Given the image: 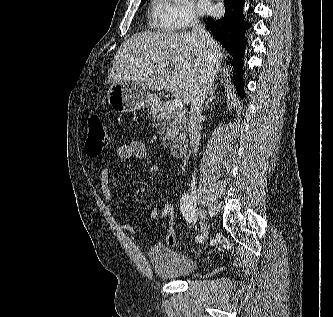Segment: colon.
I'll return each mask as SVG.
<instances>
[{"mask_svg":"<svg viewBox=\"0 0 333 317\" xmlns=\"http://www.w3.org/2000/svg\"><path fill=\"white\" fill-rule=\"evenodd\" d=\"M110 138L98 116L92 115L88 122V137L85 144L86 153L91 157L98 156L109 144ZM166 224V242L174 247L178 243L177 235L174 231L176 221V209L171 203L163 205L158 210V216Z\"/></svg>","mask_w":333,"mask_h":317,"instance_id":"1","label":"colon"}]
</instances>
